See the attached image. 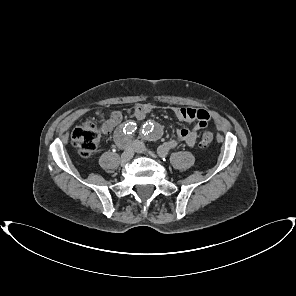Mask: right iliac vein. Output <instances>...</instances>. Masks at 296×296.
<instances>
[{
	"instance_id": "obj_1",
	"label": "right iliac vein",
	"mask_w": 296,
	"mask_h": 296,
	"mask_svg": "<svg viewBox=\"0 0 296 296\" xmlns=\"http://www.w3.org/2000/svg\"><path fill=\"white\" fill-rule=\"evenodd\" d=\"M133 155H134L133 146L129 145V143H128L127 148L125 149V151L121 155V161L123 163L130 161L132 159Z\"/></svg>"
}]
</instances>
